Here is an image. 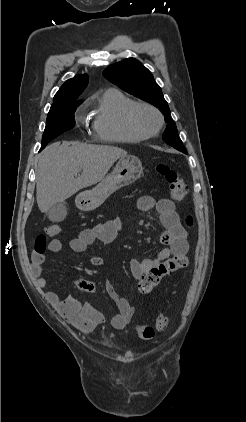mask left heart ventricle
<instances>
[{
	"instance_id": "left-heart-ventricle-1",
	"label": "left heart ventricle",
	"mask_w": 246,
	"mask_h": 422,
	"mask_svg": "<svg viewBox=\"0 0 246 422\" xmlns=\"http://www.w3.org/2000/svg\"><path fill=\"white\" fill-rule=\"evenodd\" d=\"M140 126L146 131H153L158 124L157 116L148 109H141L137 115Z\"/></svg>"
}]
</instances>
